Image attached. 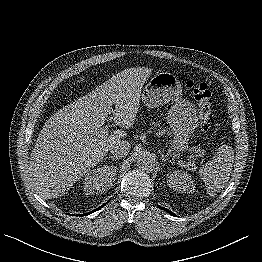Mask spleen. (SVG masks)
Masks as SVG:
<instances>
[{
  "mask_svg": "<svg viewBox=\"0 0 262 262\" xmlns=\"http://www.w3.org/2000/svg\"><path fill=\"white\" fill-rule=\"evenodd\" d=\"M234 162V151L231 146L218 148L215 156L199 170V175L210 194L221 191L228 182Z\"/></svg>",
  "mask_w": 262,
  "mask_h": 262,
  "instance_id": "1",
  "label": "spleen"
}]
</instances>
